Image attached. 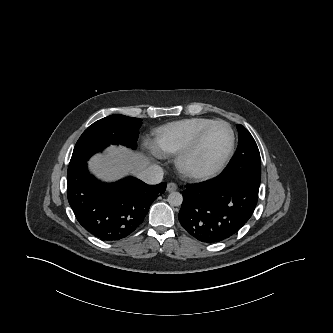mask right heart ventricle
<instances>
[{"label": "right heart ventricle", "mask_w": 333, "mask_h": 333, "mask_svg": "<svg viewBox=\"0 0 333 333\" xmlns=\"http://www.w3.org/2000/svg\"><path fill=\"white\" fill-rule=\"evenodd\" d=\"M213 119L194 117L175 121L158 128L155 132V144L158 152L175 155L188 147L198 133L213 122Z\"/></svg>", "instance_id": "obj_1"}]
</instances>
